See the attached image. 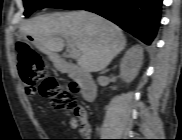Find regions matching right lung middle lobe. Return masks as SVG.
<instances>
[{
  "mask_svg": "<svg viewBox=\"0 0 182 140\" xmlns=\"http://www.w3.org/2000/svg\"><path fill=\"white\" fill-rule=\"evenodd\" d=\"M25 6V17L31 15L35 10L42 8H61L76 10L92 2L93 0H23Z\"/></svg>",
  "mask_w": 182,
  "mask_h": 140,
  "instance_id": "right-lung-middle-lobe-1",
  "label": "right lung middle lobe"
}]
</instances>
